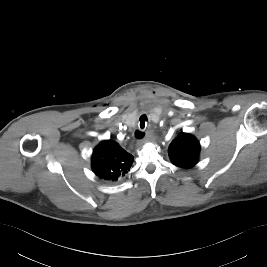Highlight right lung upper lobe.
<instances>
[{"label":"right lung upper lobe","mask_w":267,"mask_h":267,"mask_svg":"<svg viewBox=\"0 0 267 267\" xmlns=\"http://www.w3.org/2000/svg\"><path fill=\"white\" fill-rule=\"evenodd\" d=\"M134 158L112 140H105L92 154L93 172L106 181L114 182L130 171Z\"/></svg>","instance_id":"right-lung-upper-lobe-1"}]
</instances>
